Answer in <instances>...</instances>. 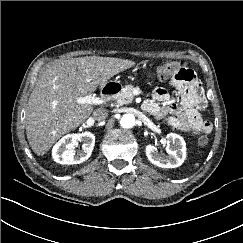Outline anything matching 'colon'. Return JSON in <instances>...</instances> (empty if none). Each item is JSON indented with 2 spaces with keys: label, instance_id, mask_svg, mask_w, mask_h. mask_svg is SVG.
<instances>
[{
  "label": "colon",
  "instance_id": "obj_1",
  "mask_svg": "<svg viewBox=\"0 0 243 243\" xmlns=\"http://www.w3.org/2000/svg\"><path fill=\"white\" fill-rule=\"evenodd\" d=\"M191 70L186 67L183 61L169 60L161 65L157 70L159 80L166 81L168 79L185 80L189 77ZM200 146L208 144L206 136H200L197 140Z\"/></svg>",
  "mask_w": 243,
  "mask_h": 243
}]
</instances>
